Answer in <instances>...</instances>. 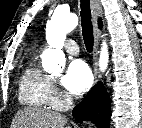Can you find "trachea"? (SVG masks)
<instances>
[{"label": "trachea", "mask_w": 142, "mask_h": 128, "mask_svg": "<svg viewBox=\"0 0 142 128\" xmlns=\"http://www.w3.org/2000/svg\"><path fill=\"white\" fill-rule=\"evenodd\" d=\"M81 26L84 43L88 52L93 49L94 37L91 22L90 0H80Z\"/></svg>", "instance_id": "1"}]
</instances>
